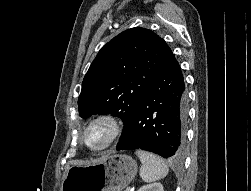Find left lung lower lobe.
<instances>
[{
    "label": "left lung lower lobe",
    "instance_id": "1",
    "mask_svg": "<svg viewBox=\"0 0 251 191\" xmlns=\"http://www.w3.org/2000/svg\"><path fill=\"white\" fill-rule=\"evenodd\" d=\"M186 114L184 79L172 54L142 99L116 150L142 149L164 158L181 156Z\"/></svg>",
    "mask_w": 251,
    "mask_h": 191
}]
</instances>
